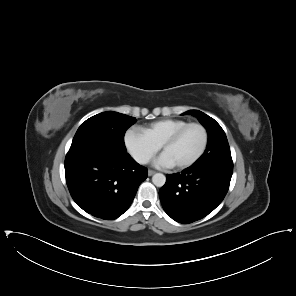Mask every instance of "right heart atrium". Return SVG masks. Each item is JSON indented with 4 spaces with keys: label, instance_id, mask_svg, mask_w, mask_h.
<instances>
[{
    "label": "right heart atrium",
    "instance_id": "obj_1",
    "mask_svg": "<svg viewBox=\"0 0 296 296\" xmlns=\"http://www.w3.org/2000/svg\"><path fill=\"white\" fill-rule=\"evenodd\" d=\"M124 142L129 153L141 164L148 163L160 148L142 130L136 127L127 131Z\"/></svg>",
    "mask_w": 296,
    "mask_h": 296
}]
</instances>
